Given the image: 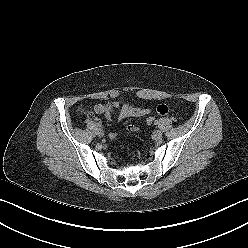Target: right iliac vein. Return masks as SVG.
Wrapping results in <instances>:
<instances>
[{
  "label": "right iliac vein",
  "mask_w": 248,
  "mask_h": 248,
  "mask_svg": "<svg viewBox=\"0 0 248 248\" xmlns=\"http://www.w3.org/2000/svg\"><path fill=\"white\" fill-rule=\"evenodd\" d=\"M97 135L102 138L104 136V133L102 130H98Z\"/></svg>",
  "instance_id": "1"
}]
</instances>
